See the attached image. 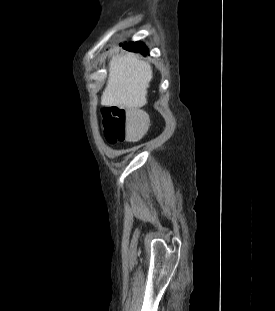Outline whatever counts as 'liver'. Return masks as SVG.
<instances>
[{"instance_id": "liver-1", "label": "liver", "mask_w": 275, "mask_h": 311, "mask_svg": "<svg viewBox=\"0 0 275 311\" xmlns=\"http://www.w3.org/2000/svg\"><path fill=\"white\" fill-rule=\"evenodd\" d=\"M152 68L134 54L116 55L109 63L107 85L101 97L104 106L138 109L147 103Z\"/></svg>"}]
</instances>
